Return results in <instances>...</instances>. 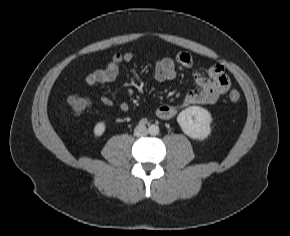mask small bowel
Segmentation results:
<instances>
[{"instance_id":"obj_1","label":"small bowel","mask_w":290,"mask_h":236,"mask_svg":"<svg viewBox=\"0 0 290 236\" xmlns=\"http://www.w3.org/2000/svg\"><path fill=\"white\" fill-rule=\"evenodd\" d=\"M134 55L131 52L115 53L112 59L104 68L96 69L89 73L85 79L86 84L94 87L98 84L108 83L116 79L119 75L120 65L133 61ZM194 64L193 56L188 52H179L174 57H164L156 60L154 69V78L158 82L171 81L176 78V65L185 68H191ZM208 77L200 72L194 73V79L199 89L190 91L180 107L173 105H162L157 108L156 115L158 118L166 120L174 117L179 108L190 105H212L228 90L230 79L224 73L220 64H213L207 70ZM104 106L113 105V100L108 96L100 98ZM120 110H128L126 103L120 104Z\"/></svg>"}]
</instances>
